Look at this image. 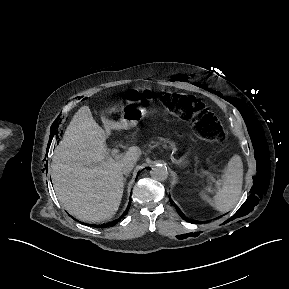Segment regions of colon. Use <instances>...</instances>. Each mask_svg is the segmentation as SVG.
Listing matches in <instances>:
<instances>
[{
	"label": "colon",
	"mask_w": 289,
	"mask_h": 289,
	"mask_svg": "<svg viewBox=\"0 0 289 289\" xmlns=\"http://www.w3.org/2000/svg\"><path fill=\"white\" fill-rule=\"evenodd\" d=\"M139 98L140 94L136 91H129L126 94V99L128 100L135 101ZM161 100L176 115L188 120L198 136L208 141H217L220 138L221 130L217 120L197 97L187 94L163 92L161 93Z\"/></svg>",
	"instance_id": "5ec220e1"
}]
</instances>
